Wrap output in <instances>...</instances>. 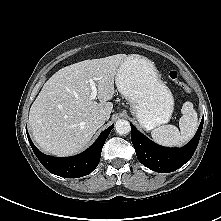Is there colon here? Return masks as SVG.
Returning <instances> with one entry per match:
<instances>
[{
    "label": "colon",
    "instance_id": "obj_1",
    "mask_svg": "<svg viewBox=\"0 0 221 221\" xmlns=\"http://www.w3.org/2000/svg\"><path fill=\"white\" fill-rule=\"evenodd\" d=\"M168 76H169V79L171 81H173L174 83L178 84L183 89H186V86L182 82H180L179 75H178V72L176 70H170Z\"/></svg>",
    "mask_w": 221,
    "mask_h": 221
}]
</instances>
